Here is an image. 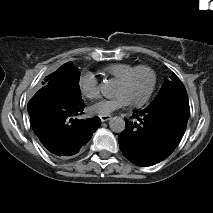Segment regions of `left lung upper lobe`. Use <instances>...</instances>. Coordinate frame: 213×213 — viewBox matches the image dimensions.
<instances>
[{
    "instance_id": "obj_1",
    "label": "left lung upper lobe",
    "mask_w": 213,
    "mask_h": 213,
    "mask_svg": "<svg viewBox=\"0 0 213 213\" xmlns=\"http://www.w3.org/2000/svg\"><path fill=\"white\" fill-rule=\"evenodd\" d=\"M174 107L185 114H190L188 95L179 78L173 74L166 80L154 101L147 108Z\"/></svg>"
}]
</instances>
